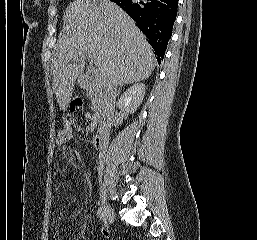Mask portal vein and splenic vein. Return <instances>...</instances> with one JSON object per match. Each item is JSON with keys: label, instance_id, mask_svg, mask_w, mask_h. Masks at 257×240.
Segmentation results:
<instances>
[{"label": "portal vein and splenic vein", "instance_id": "18ae733b", "mask_svg": "<svg viewBox=\"0 0 257 240\" xmlns=\"http://www.w3.org/2000/svg\"><path fill=\"white\" fill-rule=\"evenodd\" d=\"M85 58H87V59L89 60L90 64H92V63L95 62V59H94L93 55H91V54H88V55L83 56V59H85ZM93 73H94V75H95L96 86H97L98 88L102 87L103 83H102V81L98 78V71H97L96 69H94Z\"/></svg>", "mask_w": 257, "mask_h": 240}]
</instances>
